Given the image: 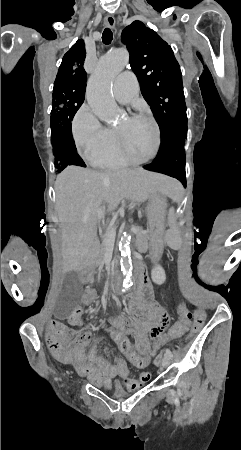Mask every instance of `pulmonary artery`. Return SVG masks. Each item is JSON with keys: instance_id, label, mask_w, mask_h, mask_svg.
Returning a JSON list of instances; mask_svg holds the SVG:
<instances>
[{"instance_id": "1", "label": "pulmonary artery", "mask_w": 241, "mask_h": 450, "mask_svg": "<svg viewBox=\"0 0 241 450\" xmlns=\"http://www.w3.org/2000/svg\"><path fill=\"white\" fill-rule=\"evenodd\" d=\"M136 76L133 74L132 69H126L122 71V75L117 76L113 93L114 97L120 104H129L137 91Z\"/></svg>"}]
</instances>
